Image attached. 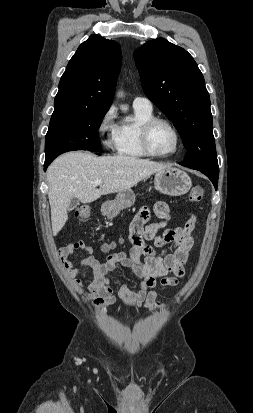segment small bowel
Returning a JSON list of instances; mask_svg holds the SVG:
<instances>
[{"label":"small bowel","instance_id":"c3829d8e","mask_svg":"<svg viewBox=\"0 0 253 413\" xmlns=\"http://www.w3.org/2000/svg\"><path fill=\"white\" fill-rule=\"evenodd\" d=\"M151 211L160 222L148 224ZM170 219L168 205L165 202H156L152 208L142 207L134 217L129 229L132 247L128 253L113 252L102 262L93 254L92 248L81 240L60 248L58 258L76 286L80 284L77 277L82 268L88 267L92 270L94 279L88 286L89 291L85 298L92 300L96 308L103 310L115 304L116 297L110 285L109 274L125 268L141 280L140 288L133 291L127 286H121L118 297L132 308L160 309L164 304L159 301L157 291L149 289L158 285L166 288L179 283V279L184 276L185 265L194 243L192 233L196 217L190 214L183 226L167 228L159 235L158 231L165 227ZM168 245L175 247L173 253H166L165 247ZM79 250L85 251L86 256L76 263L70 257Z\"/></svg>","mask_w":253,"mask_h":413}]
</instances>
